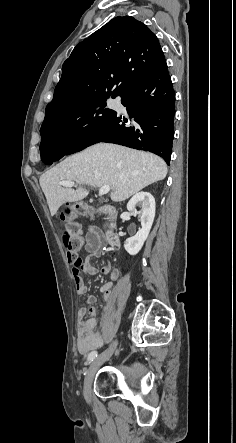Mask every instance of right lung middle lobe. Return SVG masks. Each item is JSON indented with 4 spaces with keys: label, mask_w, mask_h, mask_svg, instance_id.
Segmentation results:
<instances>
[{
    "label": "right lung middle lobe",
    "mask_w": 236,
    "mask_h": 443,
    "mask_svg": "<svg viewBox=\"0 0 236 443\" xmlns=\"http://www.w3.org/2000/svg\"><path fill=\"white\" fill-rule=\"evenodd\" d=\"M108 97H96L77 108L45 119L40 129V149L53 145L66 146L109 117L113 110L104 109Z\"/></svg>",
    "instance_id": "dd1d6c3e"
}]
</instances>
